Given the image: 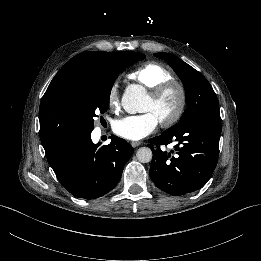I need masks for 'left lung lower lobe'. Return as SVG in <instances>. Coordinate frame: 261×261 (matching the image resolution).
I'll list each match as a JSON object with an SVG mask.
<instances>
[{
	"label": "left lung lower lobe",
	"instance_id": "1",
	"mask_svg": "<svg viewBox=\"0 0 261 261\" xmlns=\"http://www.w3.org/2000/svg\"><path fill=\"white\" fill-rule=\"evenodd\" d=\"M220 122L196 121L178 132H163L150 139L153 158L149 175L155 185L171 195H185L202 188L218 162ZM176 141L175 154L162 151L160 145Z\"/></svg>",
	"mask_w": 261,
	"mask_h": 261
}]
</instances>
